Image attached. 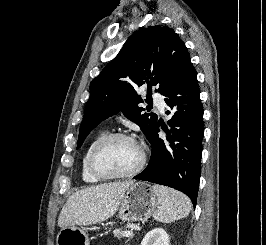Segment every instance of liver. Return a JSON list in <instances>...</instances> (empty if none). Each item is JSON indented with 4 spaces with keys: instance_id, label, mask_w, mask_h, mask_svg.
<instances>
[{
    "instance_id": "liver-1",
    "label": "liver",
    "mask_w": 266,
    "mask_h": 245,
    "mask_svg": "<svg viewBox=\"0 0 266 245\" xmlns=\"http://www.w3.org/2000/svg\"><path fill=\"white\" fill-rule=\"evenodd\" d=\"M131 185L133 181L106 183L72 193L59 215L58 227H69V225L88 227L110 219L118 211L120 201Z\"/></svg>"
}]
</instances>
